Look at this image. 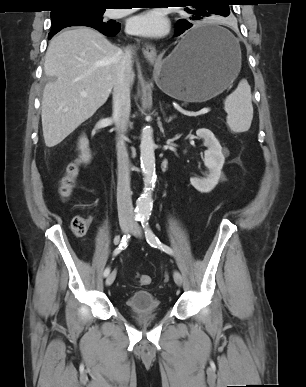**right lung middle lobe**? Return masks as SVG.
<instances>
[{
  "mask_svg": "<svg viewBox=\"0 0 306 387\" xmlns=\"http://www.w3.org/2000/svg\"><path fill=\"white\" fill-rule=\"evenodd\" d=\"M105 8L95 6H73L62 8L61 11L51 12V32H59L68 26H89L92 28L112 27L117 24L106 23L102 15ZM51 33L49 34V36Z\"/></svg>",
  "mask_w": 306,
  "mask_h": 387,
  "instance_id": "1",
  "label": "right lung middle lobe"
}]
</instances>
